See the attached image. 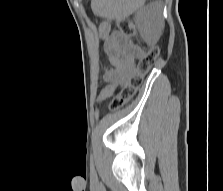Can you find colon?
Masks as SVG:
<instances>
[{
	"instance_id": "obj_1",
	"label": "colon",
	"mask_w": 223,
	"mask_h": 191,
	"mask_svg": "<svg viewBox=\"0 0 223 191\" xmlns=\"http://www.w3.org/2000/svg\"><path fill=\"white\" fill-rule=\"evenodd\" d=\"M119 30L127 37L135 38L136 37V27L129 20H119L117 22ZM109 30L108 21L104 20L99 24V32L102 36H105ZM159 55V50L155 46H149L146 48L144 56L138 62L136 67V73L133 75L128 84H126L120 93L114 97L110 103V108L113 111L119 110L123 107L140 89L143 83L144 76L150 71L154 65L157 57ZM98 63L100 64L101 70H107L109 63L106 59H99Z\"/></svg>"
}]
</instances>
